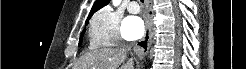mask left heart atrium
Masks as SVG:
<instances>
[{
    "label": "left heart atrium",
    "instance_id": "left-heart-atrium-1",
    "mask_svg": "<svg viewBox=\"0 0 246 69\" xmlns=\"http://www.w3.org/2000/svg\"><path fill=\"white\" fill-rule=\"evenodd\" d=\"M144 29V23L141 18L128 16L123 22L122 35L126 40H136L142 37Z\"/></svg>",
    "mask_w": 246,
    "mask_h": 69
}]
</instances>
